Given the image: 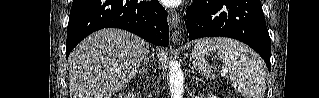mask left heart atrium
<instances>
[{"label":"left heart atrium","instance_id":"obj_1","mask_svg":"<svg viewBox=\"0 0 319 98\" xmlns=\"http://www.w3.org/2000/svg\"><path fill=\"white\" fill-rule=\"evenodd\" d=\"M181 1L179 0H164V3L167 6H176L177 4H179Z\"/></svg>","mask_w":319,"mask_h":98}]
</instances>
